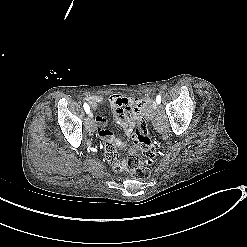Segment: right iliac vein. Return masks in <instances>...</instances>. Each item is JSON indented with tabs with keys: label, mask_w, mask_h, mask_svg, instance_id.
Returning <instances> with one entry per match:
<instances>
[{
	"label": "right iliac vein",
	"mask_w": 247,
	"mask_h": 247,
	"mask_svg": "<svg viewBox=\"0 0 247 247\" xmlns=\"http://www.w3.org/2000/svg\"><path fill=\"white\" fill-rule=\"evenodd\" d=\"M88 114H89V117H90V118H93V113H92L91 111H89Z\"/></svg>",
	"instance_id": "right-iliac-vein-1"
}]
</instances>
